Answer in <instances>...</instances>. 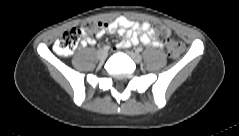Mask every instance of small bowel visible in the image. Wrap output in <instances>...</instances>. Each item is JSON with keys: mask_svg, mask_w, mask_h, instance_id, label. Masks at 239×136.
I'll return each mask as SVG.
<instances>
[{"mask_svg": "<svg viewBox=\"0 0 239 136\" xmlns=\"http://www.w3.org/2000/svg\"><path fill=\"white\" fill-rule=\"evenodd\" d=\"M107 33H117L123 37L115 46V49L129 48L139 43L156 48H163L164 46L156 38V31L148 22L138 23L123 16L106 23L104 29L96 38H87L85 42L90 45L96 44Z\"/></svg>", "mask_w": 239, "mask_h": 136, "instance_id": "1", "label": "small bowel"}]
</instances>
